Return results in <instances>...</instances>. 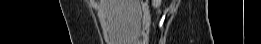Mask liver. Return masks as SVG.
Returning a JSON list of instances; mask_svg holds the SVG:
<instances>
[{
  "label": "liver",
  "mask_w": 261,
  "mask_h": 44,
  "mask_svg": "<svg viewBox=\"0 0 261 44\" xmlns=\"http://www.w3.org/2000/svg\"><path fill=\"white\" fill-rule=\"evenodd\" d=\"M105 4L109 36L116 44H135L140 36L139 0H101Z\"/></svg>",
  "instance_id": "liver-1"
}]
</instances>
